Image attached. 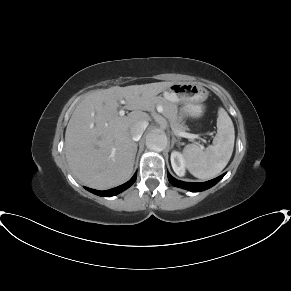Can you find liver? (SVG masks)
Masks as SVG:
<instances>
[{"label":"liver","mask_w":291,"mask_h":291,"mask_svg":"<svg viewBox=\"0 0 291 291\" xmlns=\"http://www.w3.org/2000/svg\"><path fill=\"white\" fill-rule=\"evenodd\" d=\"M173 82L126 87L114 86L87 95L75 108L65 132V157L70 170L85 185L96 189L118 186L133 172L136 143L130 127L148 122L153 99ZM125 100L126 116L118 113Z\"/></svg>","instance_id":"obj_1"}]
</instances>
